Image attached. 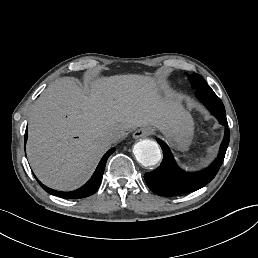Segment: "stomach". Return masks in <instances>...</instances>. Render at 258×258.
Here are the masks:
<instances>
[{"label":"stomach","instance_id":"obj_1","mask_svg":"<svg viewBox=\"0 0 258 258\" xmlns=\"http://www.w3.org/2000/svg\"><path fill=\"white\" fill-rule=\"evenodd\" d=\"M151 131V128H149ZM194 132V122L191 114L184 110L183 116L181 120L180 127L177 133L171 137L173 141H175L180 146H187L190 144Z\"/></svg>","mask_w":258,"mask_h":258}]
</instances>
